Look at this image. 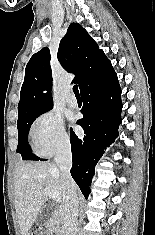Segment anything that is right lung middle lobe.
<instances>
[{"mask_svg":"<svg viewBox=\"0 0 155 235\" xmlns=\"http://www.w3.org/2000/svg\"><path fill=\"white\" fill-rule=\"evenodd\" d=\"M49 111V110H48ZM42 112H31L18 116L17 128H18V147L17 153H20L23 160H43L36 157L28 145V133L30 126L35 119L45 113Z\"/></svg>","mask_w":155,"mask_h":235,"instance_id":"obj_1","label":"right lung middle lobe"}]
</instances>
